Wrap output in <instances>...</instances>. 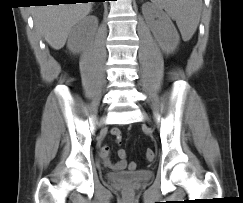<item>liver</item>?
Returning a JSON list of instances; mask_svg holds the SVG:
<instances>
[{
	"label": "liver",
	"instance_id": "obj_1",
	"mask_svg": "<svg viewBox=\"0 0 243 203\" xmlns=\"http://www.w3.org/2000/svg\"><path fill=\"white\" fill-rule=\"evenodd\" d=\"M91 10V2L36 6L33 9L34 24L47 43L59 50L65 45L72 27Z\"/></svg>",
	"mask_w": 243,
	"mask_h": 203
}]
</instances>
